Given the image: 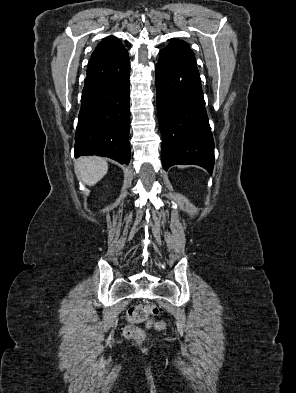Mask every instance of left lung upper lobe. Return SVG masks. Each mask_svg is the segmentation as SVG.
Returning a JSON list of instances; mask_svg holds the SVG:
<instances>
[{"instance_id":"obj_1","label":"left lung upper lobe","mask_w":296,"mask_h":393,"mask_svg":"<svg viewBox=\"0 0 296 393\" xmlns=\"http://www.w3.org/2000/svg\"><path fill=\"white\" fill-rule=\"evenodd\" d=\"M161 52L167 53V54H172V55H177V56H188V57H194V53L190 49L189 45L182 41V40H172L166 48L161 50Z\"/></svg>"}]
</instances>
